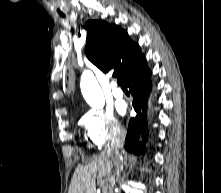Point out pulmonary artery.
Here are the masks:
<instances>
[{
	"mask_svg": "<svg viewBox=\"0 0 221 193\" xmlns=\"http://www.w3.org/2000/svg\"><path fill=\"white\" fill-rule=\"evenodd\" d=\"M111 89H112V94L116 98H122L124 96L122 89H120L115 82L111 83Z\"/></svg>",
	"mask_w": 221,
	"mask_h": 193,
	"instance_id": "1",
	"label": "pulmonary artery"
}]
</instances>
